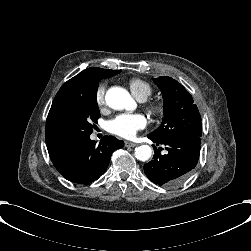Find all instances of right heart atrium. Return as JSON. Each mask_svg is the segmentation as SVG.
<instances>
[{
    "instance_id": "1",
    "label": "right heart atrium",
    "mask_w": 251,
    "mask_h": 251,
    "mask_svg": "<svg viewBox=\"0 0 251 251\" xmlns=\"http://www.w3.org/2000/svg\"><path fill=\"white\" fill-rule=\"evenodd\" d=\"M105 93H106L105 85H99L95 91V102L99 108L105 105Z\"/></svg>"
}]
</instances>
